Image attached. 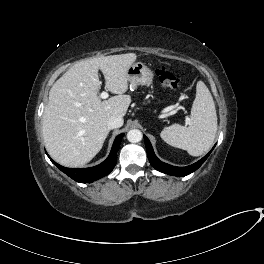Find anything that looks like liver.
Listing matches in <instances>:
<instances>
[{"mask_svg":"<svg viewBox=\"0 0 264 264\" xmlns=\"http://www.w3.org/2000/svg\"><path fill=\"white\" fill-rule=\"evenodd\" d=\"M135 53L89 58L75 63L51 87L43 114L42 132L49 155L66 167H81L101 150L109 133L107 121L123 118L131 103L128 68ZM105 88L117 94L107 100L98 96Z\"/></svg>","mask_w":264,"mask_h":264,"instance_id":"obj_1","label":"liver"}]
</instances>
